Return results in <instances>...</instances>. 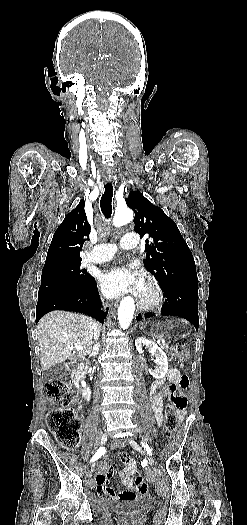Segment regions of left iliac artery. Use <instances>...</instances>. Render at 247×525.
<instances>
[{"label": "left iliac artery", "mask_w": 247, "mask_h": 525, "mask_svg": "<svg viewBox=\"0 0 247 525\" xmlns=\"http://www.w3.org/2000/svg\"><path fill=\"white\" fill-rule=\"evenodd\" d=\"M141 444H142V446L146 449V451H147L149 454H152V450H151V448L148 446L147 443H143V442H142Z\"/></svg>", "instance_id": "44dca946"}]
</instances>
